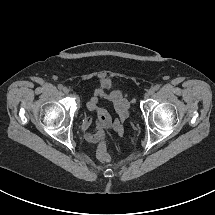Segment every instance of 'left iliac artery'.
<instances>
[{
  "mask_svg": "<svg viewBox=\"0 0 215 215\" xmlns=\"http://www.w3.org/2000/svg\"><path fill=\"white\" fill-rule=\"evenodd\" d=\"M159 88H160V85H158V84H156V85L154 86V90H159Z\"/></svg>",
  "mask_w": 215,
  "mask_h": 215,
  "instance_id": "obj_1",
  "label": "left iliac artery"
}]
</instances>
